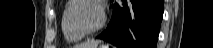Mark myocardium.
<instances>
[{"label": "myocardium", "mask_w": 213, "mask_h": 48, "mask_svg": "<svg viewBox=\"0 0 213 48\" xmlns=\"http://www.w3.org/2000/svg\"><path fill=\"white\" fill-rule=\"evenodd\" d=\"M82 2L95 3L99 6V8L101 10L100 21H99L98 25L93 29L85 30V29L81 28L73 19L72 14H73L74 9ZM66 18H67L68 25L73 32H75L76 34H78L81 37L90 36V35H93V34L99 32L105 25V22H106L105 5L100 0H71L68 10H67Z\"/></svg>", "instance_id": "f54148a6"}]
</instances>
